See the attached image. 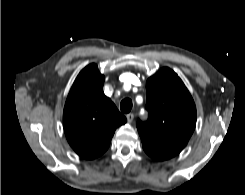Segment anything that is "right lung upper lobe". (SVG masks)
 Listing matches in <instances>:
<instances>
[{"mask_svg":"<svg viewBox=\"0 0 245 195\" xmlns=\"http://www.w3.org/2000/svg\"><path fill=\"white\" fill-rule=\"evenodd\" d=\"M104 76L96 64L86 66L77 76L67 97L63 125L75 152L95 159L109 147L115 129L127 122L103 93Z\"/></svg>","mask_w":245,"mask_h":195,"instance_id":"right-lung-upper-lobe-1","label":"right lung upper lobe"}]
</instances>
